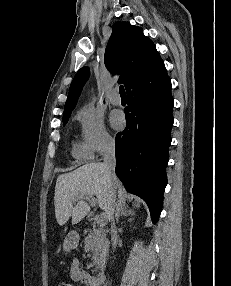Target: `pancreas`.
Masks as SVG:
<instances>
[{
	"instance_id": "cf45deb5",
	"label": "pancreas",
	"mask_w": 231,
	"mask_h": 286,
	"mask_svg": "<svg viewBox=\"0 0 231 286\" xmlns=\"http://www.w3.org/2000/svg\"><path fill=\"white\" fill-rule=\"evenodd\" d=\"M84 234L87 235L84 238L85 251L91 252L92 263L91 267L95 270L102 268L105 265L107 251L109 248V241L106 238V233L103 229H85Z\"/></svg>"
}]
</instances>
